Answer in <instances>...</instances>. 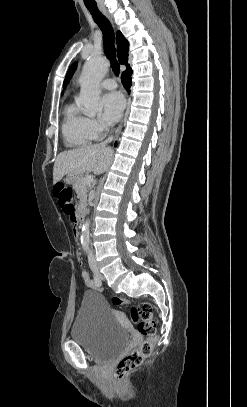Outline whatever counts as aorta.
Here are the masks:
<instances>
[{
  "label": "aorta",
  "instance_id": "1",
  "mask_svg": "<svg viewBox=\"0 0 247 407\" xmlns=\"http://www.w3.org/2000/svg\"><path fill=\"white\" fill-rule=\"evenodd\" d=\"M109 69L107 59L100 56H92L84 64L79 82L80 95L78 101L83 105V111L88 116H94L102 111L99 103L100 82ZM90 243V222L86 220L82 226L81 244L88 251Z\"/></svg>",
  "mask_w": 247,
  "mask_h": 407
}]
</instances>
